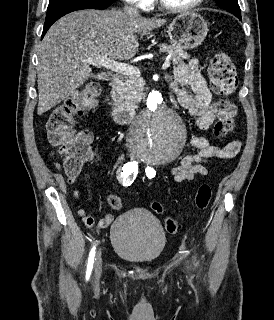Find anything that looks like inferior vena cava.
Here are the masks:
<instances>
[{
  "label": "inferior vena cava",
  "instance_id": "602c4592",
  "mask_svg": "<svg viewBox=\"0 0 274 320\" xmlns=\"http://www.w3.org/2000/svg\"><path fill=\"white\" fill-rule=\"evenodd\" d=\"M122 12L125 16H129V18H136V16H140L137 8H133V6H124Z\"/></svg>",
  "mask_w": 274,
  "mask_h": 320
}]
</instances>
